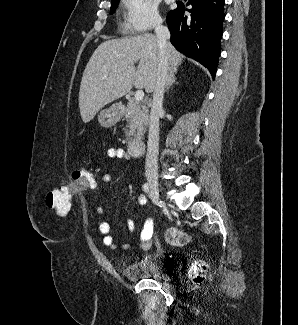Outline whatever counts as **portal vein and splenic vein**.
I'll return each mask as SVG.
<instances>
[{"mask_svg":"<svg viewBox=\"0 0 298 325\" xmlns=\"http://www.w3.org/2000/svg\"><path fill=\"white\" fill-rule=\"evenodd\" d=\"M134 96L136 102H140V100H143L144 98V90H136Z\"/></svg>","mask_w":298,"mask_h":325,"instance_id":"18ae733b","label":"portal vein and splenic vein"}]
</instances>
